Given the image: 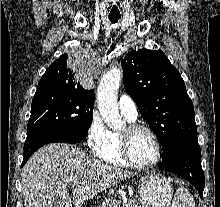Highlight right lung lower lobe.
I'll use <instances>...</instances> for the list:
<instances>
[{"label": "right lung lower lobe", "instance_id": "right-lung-lower-lobe-1", "mask_svg": "<svg viewBox=\"0 0 220 207\" xmlns=\"http://www.w3.org/2000/svg\"><path fill=\"white\" fill-rule=\"evenodd\" d=\"M83 134H46L27 137L24 144L23 166L29 157L41 146L52 142L77 143L85 138Z\"/></svg>", "mask_w": 220, "mask_h": 207}]
</instances>
